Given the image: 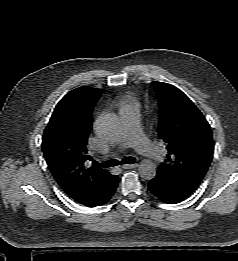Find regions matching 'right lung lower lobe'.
Wrapping results in <instances>:
<instances>
[{
  "instance_id": "98d812e1",
  "label": "right lung lower lobe",
  "mask_w": 238,
  "mask_h": 261,
  "mask_svg": "<svg viewBox=\"0 0 238 261\" xmlns=\"http://www.w3.org/2000/svg\"><path fill=\"white\" fill-rule=\"evenodd\" d=\"M118 185V176L110 175L109 179L105 182L102 188L93 195L91 198L81 203L88 207H96L107 203L113 196Z\"/></svg>"
}]
</instances>
